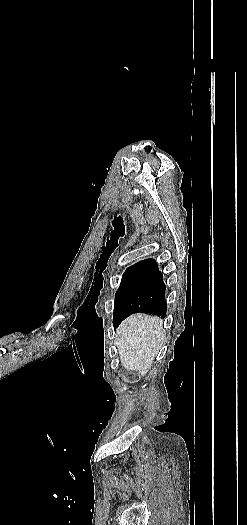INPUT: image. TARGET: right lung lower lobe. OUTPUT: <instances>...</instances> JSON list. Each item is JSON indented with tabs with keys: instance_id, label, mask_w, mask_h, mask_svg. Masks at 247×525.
<instances>
[{
	"instance_id": "obj_1",
	"label": "right lung lower lobe",
	"mask_w": 247,
	"mask_h": 525,
	"mask_svg": "<svg viewBox=\"0 0 247 525\" xmlns=\"http://www.w3.org/2000/svg\"><path fill=\"white\" fill-rule=\"evenodd\" d=\"M166 286L163 275L153 262L147 274L126 299L121 314L113 323L116 328L126 317L135 312H145L164 317L167 311L165 300Z\"/></svg>"
}]
</instances>
